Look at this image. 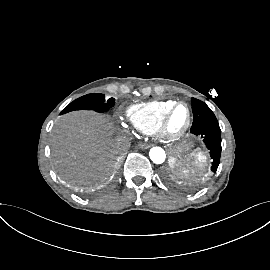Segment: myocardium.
I'll use <instances>...</instances> for the list:
<instances>
[{
	"instance_id": "obj_1",
	"label": "myocardium",
	"mask_w": 270,
	"mask_h": 270,
	"mask_svg": "<svg viewBox=\"0 0 270 270\" xmlns=\"http://www.w3.org/2000/svg\"><path fill=\"white\" fill-rule=\"evenodd\" d=\"M184 106L187 109V120L184 124V126L176 132H172L168 128V123L170 120V117L174 110L179 107ZM191 120H192V113L189 105L185 102H175L162 116L159 126H158V134L159 136L168 142H173L181 139L188 131V129L191 126Z\"/></svg>"
}]
</instances>
